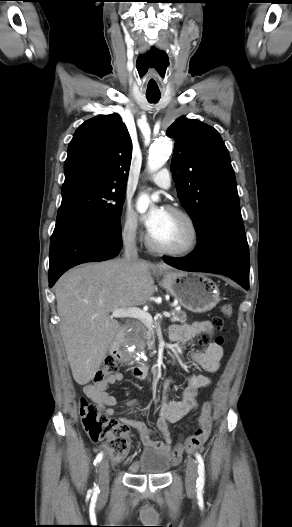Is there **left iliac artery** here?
Listing matches in <instances>:
<instances>
[{
  "instance_id": "44dca946",
  "label": "left iliac artery",
  "mask_w": 292,
  "mask_h": 527,
  "mask_svg": "<svg viewBox=\"0 0 292 527\" xmlns=\"http://www.w3.org/2000/svg\"><path fill=\"white\" fill-rule=\"evenodd\" d=\"M196 460L198 462V475L199 477L196 480V487L198 491H201L204 487L205 482V467L202 456L199 453H196Z\"/></svg>"
}]
</instances>
